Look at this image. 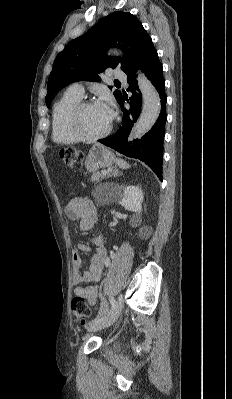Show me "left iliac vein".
I'll use <instances>...</instances> for the list:
<instances>
[{
    "instance_id": "4c4485c4",
    "label": "left iliac vein",
    "mask_w": 232,
    "mask_h": 399,
    "mask_svg": "<svg viewBox=\"0 0 232 399\" xmlns=\"http://www.w3.org/2000/svg\"><path fill=\"white\" fill-rule=\"evenodd\" d=\"M123 305H124V295L120 294L117 297V305L116 307H114V310L109 320L95 322V325H89V328L86 330H89L90 333H93L94 331H98V329L111 327L113 323H116L121 310H123Z\"/></svg>"
}]
</instances>
